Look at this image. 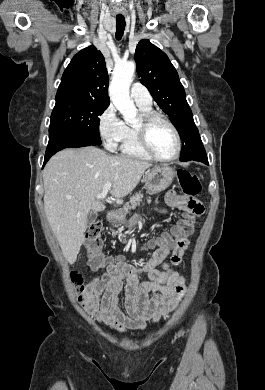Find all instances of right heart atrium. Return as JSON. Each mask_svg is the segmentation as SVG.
<instances>
[{
  "label": "right heart atrium",
  "mask_w": 265,
  "mask_h": 390,
  "mask_svg": "<svg viewBox=\"0 0 265 390\" xmlns=\"http://www.w3.org/2000/svg\"><path fill=\"white\" fill-rule=\"evenodd\" d=\"M125 123L119 117L113 104L100 114L98 118V131L104 145L109 150H115L124 134Z\"/></svg>",
  "instance_id": "right-heart-atrium-1"
}]
</instances>
